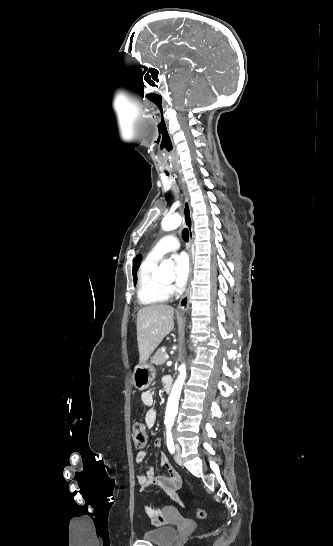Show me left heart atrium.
<instances>
[{
	"label": "left heart atrium",
	"instance_id": "39dd6f15",
	"mask_svg": "<svg viewBox=\"0 0 333 546\" xmlns=\"http://www.w3.org/2000/svg\"><path fill=\"white\" fill-rule=\"evenodd\" d=\"M173 262L176 271L175 283L182 287L186 284L190 272L189 258L185 253H179L173 256Z\"/></svg>",
	"mask_w": 333,
	"mask_h": 546
}]
</instances>
